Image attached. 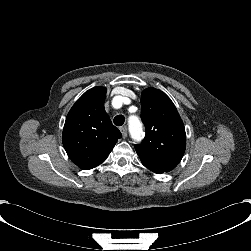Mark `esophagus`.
Wrapping results in <instances>:
<instances>
[{"label":"esophagus","instance_id":"34e87169","mask_svg":"<svg viewBox=\"0 0 251 251\" xmlns=\"http://www.w3.org/2000/svg\"><path fill=\"white\" fill-rule=\"evenodd\" d=\"M120 131L122 133V137L126 138L127 137V127L126 126L121 127Z\"/></svg>","mask_w":251,"mask_h":251}]
</instances>
